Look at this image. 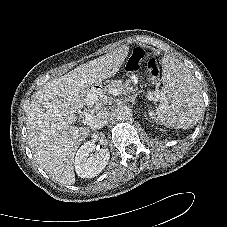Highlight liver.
I'll list each match as a JSON object with an SVG mask.
<instances>
[{"label": "liver", "mask_w": 227, "mask_h": 227, "mask_svg": "<svg viewBox=\"0 0 227 227\" xmlns=\"http://www.w3.org/2000/svg\"><path fill=\"white\" fill-rule=\"evenodd\" d=\"M128 46L117 48L67 74L47 82L31 97L27 118L29 146L39 166L57 182L75 183L74 156L90 133L77 127V113L91 106L87 93L114 76L128 55Z\"/></svg>", "instance_id": "1"}]
</instances>
